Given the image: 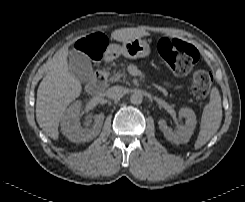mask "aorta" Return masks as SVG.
I'll use <instances>...</instances> for the list:
<instances>
[{"mask_svg":"<svg viewBox=\"0 0 245 202\" xmlns=\"http://www.w3.org/2000/svg\"><path fill=\"white\" fill-rule=\"evenodd\" d=\"M143 101V96L140 92H135L130 96V102L134 105H139Z\"/></svg>","mask_w":245,"mask_h":202,"instance_id":"obj_1","label":"aorta"}]
</instances>
